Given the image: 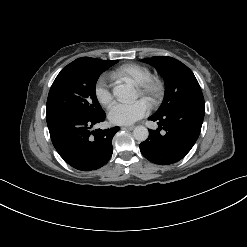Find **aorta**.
<instances>
[{
    "mask_svg": "<svg viewBox=\"0 0 247 247\" xmlns=\"http://www.w3.org/2000/svg\"><path fill=\"white\" fill-rule=\"evenodd\" d=\"M113 95L120 102H126L134 97L135 89L129 83H121L114 87ZM133 136L137 141L143 142L149 136L148 129L145 126H136L133 130Z\"/></svg>",
    "mask_w": 247,
    "mask_h": 247,
    "instance_id": "obj_1",
    "label": "aorta"
}]
</instances>
